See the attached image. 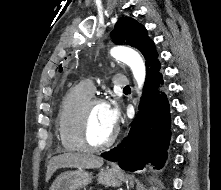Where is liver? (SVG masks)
Returning <instances> with one entry per match:
<instances>
[{
    "mask_svg": "<svg viewBox=\"0 0 221 190\" xmlns=\"http://www.w3.org/2000/svg\"><path fill=\"white\" fill-rule=\"evenodd\" d=\"M104 159L93 154L66 152L50 159L47 165L46 182L59 168L93 169L103 165Z\"/></svg>",
    "mask_w": 221,
    "mask_h": 190,
    "instance_id": "1",
    "label": "liver"
}]
</instances>
